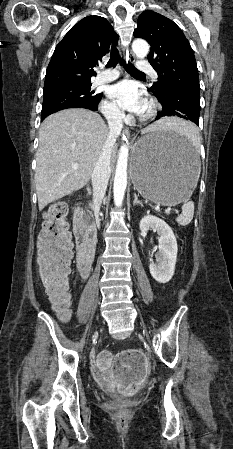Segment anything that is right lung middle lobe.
I'll use <instances>...</instances> for the list:
<instances>
[{
  "label": "right lung middle lobe",
  "mask_w": 233,
  "mask_h": 449,
  "mask_svg": "<svg viewBox=\"0 0 233 449\" xmlns=\"http://www.w3.org/2000/svg\"><path fill=\"white\" fill-rule=\"evenodd\" d=\"M91 85L63 86L44 92L42 116L73 107L95 108L101 100L102 93L95 94L91 90Z\"/></svg>",
  "instance_id": "1"
}]
</instances>
